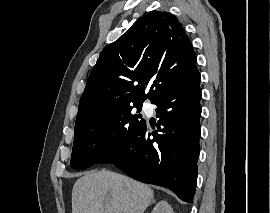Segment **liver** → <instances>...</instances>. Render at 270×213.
Wrapping results in <instances>:
<instances>
[{"label": "liver", "instance_id": "6515ba94", "mask_svg": "<svg viewBox=\"0 0 270 213\" xmlns=\"http://www.w3.org/2000/svg\"><path fill=\"white\" fill-rule=\"evenodd\" d=\"M154 192L127 176L100 170L80 177L72 190V213H144Z\"/></svg>", "mask_w": 270, "mask_h": 213}]
</instances>
